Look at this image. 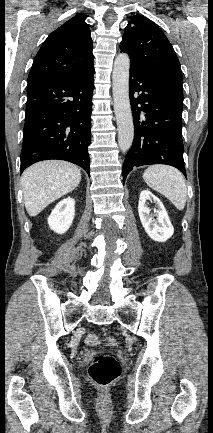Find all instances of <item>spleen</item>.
<instances>
[{
  "label": "spleen",
  "mask_w": 213,
  "mask_h": 433,
  "mask_svg": "<svg viewBox=\"0 0 213 433\" xmlns=\"http://www.w3.org/2000/svg\"><path fill=\"white\" fill-rule=\"evenodd\" d=\"M146 184L168 198L178 209L186 205L187 188L180 171L166 165H152L143 173Z\"/></svg>",
  "instance_id": "3e777b00"
}]
</instances>
